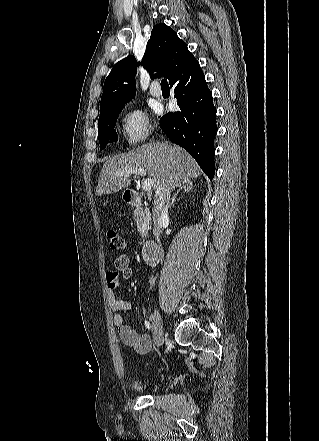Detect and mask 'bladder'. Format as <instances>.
Wrapping results in <instances>:
<instances>
[{
	"label": "bladder",
	"instance_id": "31cf9c89",
	"mask_svg": "<svg viewBox=\"0 0 319 441\" xmlns=\"http://www.w3.org/2000/svg\"><path fill=\"white\" fill-rule=\"evenodd\" d=\"M134 386L138 391L146 392L151 388L152 383L148 381H136L134 383Z\"/></svg>",
	"mask_w": 319,
	"mask_h": 441
}]
</instances>
